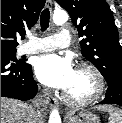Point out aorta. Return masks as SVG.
Masks as SVG:
<instances>
[{"mask_svg": "<svg viewBox=\"0 0 122 123\" xmlns=\"http://www.w3.org/2000/svg\"><path fill=\"white\" fill-rule=\"evenodd\" d=\"M67 20H68V14L63 10L56 11L53 15V21L56 25H61L65 23ZM49 123H61V118L58 110L54 109L51 112L49 117Z\"/></svg>", "mask_w": 122, "mask_h": 123, "instance_id": "obj_1", "label": "aorta"}]
</instances>
